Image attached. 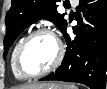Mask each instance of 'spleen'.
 Returning a JSON list of instances; mask_svg holds the SVG:
<instances>
[{
    "label": "spleen",
    "mask_w": 107,
    "mask_h": 89,
    "mask_svg": "<svg viewBox=\"0 0 107 89\" xmlns=\"http://www.w3.org/2000/svg\"><path fill=\"white\" fill-rule=\"evenodd\" d=\"M65 89H78V88L73 84H67L65 85Z\"/></svg>",
    "instance_id": "3e777b00"
}]
</instances>
